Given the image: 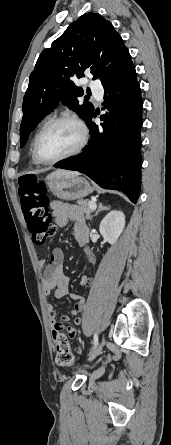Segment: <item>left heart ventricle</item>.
<instances>
[{"label":"left heart ventricle","instance_id":"obj_1","mask_svg":"<svg viewBox=\"0 0 171 445\" xmlns=\"http://www.w3.org/2000/svg\"><path fill=\"white\" fill-rule=\"evenodd\" d=\"M80 140L78 128L69 122L50 125L42 134L38 151L45 160H53L72 151Z\"/></svg>","mask_w":171,"mask_h":445}]
</instances>
